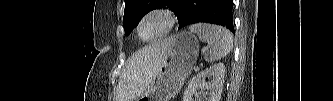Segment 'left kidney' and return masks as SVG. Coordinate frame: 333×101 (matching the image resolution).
Here are the masks:
<instances>
[{
	"label": "left kidney",
	"mask_w": 333,
	"mask_h": 101,
	"mask_svg": "<svg viewBox=\"0 0 333 101\" xmlns=\"http://www.w3.org/2000/svg\"><path fill=\"white\" fill-rule=\"evenodd\" d=\"M224 75V63L214 64L206 68L205 70L199 72L195 77L191 79L189 86L184 93L183 101H193V95H199V90L209 91L208 101H220L224 84ZM206 79H208L209 81L206 82ZM198 101H203V98L199 97Z\"/></svg>",
	"instance_id": "5707ae66"
}]
</instances>
